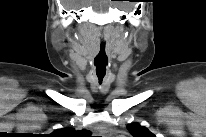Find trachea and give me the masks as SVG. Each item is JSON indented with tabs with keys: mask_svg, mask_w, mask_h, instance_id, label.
<instances>
[{
	"mask_svg": "<svg viewBox=\"0 0 206 137\" xmlns=\"http://www.w3.org/2000/svg\"><path fill=\"white\" fill-rule=\"evenodd\" d=\"M101 54H103L104 59L99 60V56H100ZM105 59H106L105 47H104L103 45H101L100 53H99L98 57L95 59V64H97V66H96V73H97V69H98V71H99V70H102V71L104 70L105 73H106V61H105ZM105 73H104V74H98V73H97L98 80H99V83H100V84L102 83V80H103V78H104V76H105Z\"/></svg>",
	"mask_w": 206,
	"mask_h": 137,
	"instance_id": "3493384b",
	"label": "trachea"
}]
</instances>
